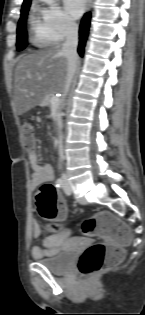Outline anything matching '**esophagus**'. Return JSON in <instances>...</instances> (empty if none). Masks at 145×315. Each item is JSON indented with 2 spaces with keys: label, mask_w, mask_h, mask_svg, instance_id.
<instances>
[{
  "label": "esophagus",
  "mask_w": 145,
  "mask_h": 315,
  "mask_svg": "<svg viewBox=\"0 0 145 315\" xmlns=\"http://www.w3.org/2000/svg\"><path fill=\"white\" fill-rule=\"evenodd\" d=\"M90 5H91V0H87V9L90 8Z\"/></svg>",
  "instance_id": "34e87169"
}]
</instances>
